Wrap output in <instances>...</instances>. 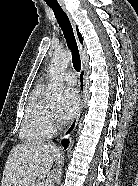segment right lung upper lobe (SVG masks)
<instances>
[{"label":"right lung upper lobe","mask_w":138,"mask_h":186,"mask_svg":"<svg viewBox=\"0 0 138 186\" xmlns=\"http://www.w3.org/2000/svg\"><path fill=\"white\" fill-rule=\"evenodd\" d=\"M78 37H79L80 42L82 43V36H81V34L79 33V31H78Z\"/></svg>","instance_id":"cb5924a9"}]
</instances>
